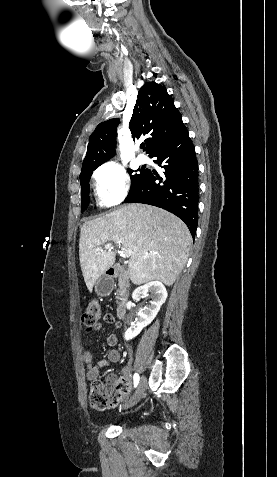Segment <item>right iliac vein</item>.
Segmentation results:
<instances>
[{"instance_id": "obj_1", "label": "right iliac vein", "mask_w": 277, "mask_h": 477, "mask_svg": "<svg viewBox=\"0 0 277 477\" xmlns=\"http://www.w3.org/2000/svg\"><path fill=\"white\" fill-rule=\"evenodd\" d=\"M145 389H146V379L145 377H141L135 393L130 398V400L124 405V408H130L136 405L140 401V399L143 397L145 393Z\"/></svg>"}]
</instances>
